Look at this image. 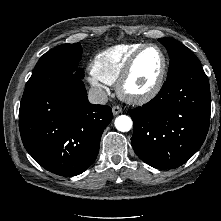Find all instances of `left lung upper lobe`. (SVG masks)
Instances as JSON below:
<instances>
[{
  "label": "left lung upper lobe",
  "instance_id": "obj_1",
  "mask_svg": "<svg viewBox=\"0 0 221 221\" xmlns=\"http://www.w3.org/2000/svg\"><path fill=\"white\" fill-rule=\"evenodd\" d=\"M159 42L165 46L170 57L167 79L173 78L185 69L201 67L199 59L180 42L171 38H161Z\"/></svg>",
  "mask_w": 221,
  "mask_h": 221
}]
</instances>
